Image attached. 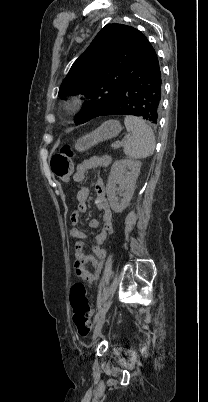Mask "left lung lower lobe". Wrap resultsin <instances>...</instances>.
<instances>
[{"instance_id": "obj_1", "label": "left lung lower lobe", "mask_w": 208, "mask_h": 402, "mask_svg": "<svg viewBox=\"0 0 208 402\" xmlns=\"http://www.w3.org/2000/svg\"><path fill=\"white\" fill-rule=\"evenodd\" d=\"M131 37L136 41V68L119 89L117 98L98 116L135 115L157 124L163 90L158 57L139 30L134 29Z\"/></svg>"}]
</instances>
